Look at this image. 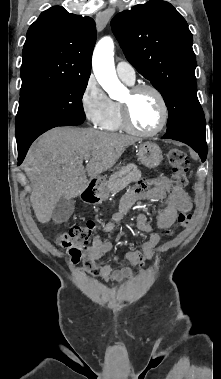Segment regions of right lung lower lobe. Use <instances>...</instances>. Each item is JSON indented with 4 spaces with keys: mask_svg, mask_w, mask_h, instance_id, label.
Segmentation results:
<instances>
[{
    "mask_svg": "<svg viewBox=\"0 0 221 379\" xmlns=\"http://www.w3.org/2000/svg\"><path fill=\"white\" fill-rule=\"evenodd\" d=\"M72 125H76V124H72ZM34 140H30V141L23 142V143H17V146H18V165H20L22 163L31 143Z\"/></svg>",
    "mask_w": 221,
    "mask_h": 379,
    "instance_id": "obj_1",
    "label": "right lung lower lobe"
}]
</instances>
